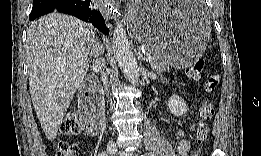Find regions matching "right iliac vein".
<instances>
[{
    "label": "right iliac vein",
    "mask_w": 261,
    "mask_h": 156,
    "mask_svg": "<svg viewBox=\"0 0 261 156\" xmlns=\"http://www.w3.org/2000/svg\"><path fill=\"white\" fill-rule=\"evenodd\" d=\"M117 152V146L113 143H108L107 144V153L109 155H115Z\"/></svg>",
    "instance_id": "right-iliac-vein-1"
}]
</instances>
